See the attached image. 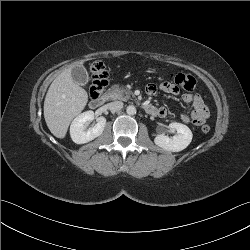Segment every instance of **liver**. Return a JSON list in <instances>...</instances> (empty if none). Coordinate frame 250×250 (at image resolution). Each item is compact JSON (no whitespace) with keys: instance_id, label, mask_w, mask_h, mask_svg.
Instances as JSON below:
<instances>
[{"instance_id":"1","label":"liver","mask_w":250,"mask_h":250,"mask_svg":"<svg viewBox=\"0 0 250 250\" xmlns=\"http://www.w3.org/2000/svg\"><path fill=\"white\" fill-rule=\"evenodd\" d=\"M74 66L78 65L70 66L54 79L44 100L46 124L50 132L60 139L66 136L71 121L88 102L87 92L72 78Z\"/></svg>"}]
</instances>
